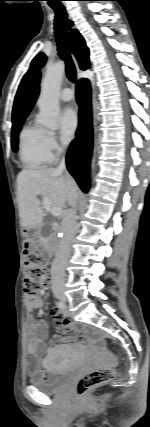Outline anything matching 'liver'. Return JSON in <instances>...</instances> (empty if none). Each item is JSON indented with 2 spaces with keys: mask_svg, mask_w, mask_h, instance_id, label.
<instances>
[{
  "mask_svg": "<svg viewBox=\"0 0 150 427\" xmlns=\"http://www.w3.org/2000/svg\"><path fill=\"white\" fill-rule=\"evenodd\" d=\"M76 189L73 179L56 169H23L17 177V199L22 225L41 226L44 212L37 196L47 197L51 207L63 208L68 196V182Z\"/></svg>",
  "mask_w": 150,
  "mask_h": 427,
  "instance_id": "liver-1",
  "label": "liver"
}]
</instances>
